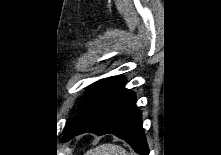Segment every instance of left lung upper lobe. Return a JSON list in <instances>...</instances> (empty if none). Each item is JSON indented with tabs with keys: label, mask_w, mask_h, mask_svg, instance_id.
<instances>
[{
	"label": "left lung upper lobe",
	"mask_w": 221,
	"mask_h": 155,
	"mask_svg": "<svg viewBox=\"0 0 221 155\" xmlns=\"http://www.w3.org/2000/svg\"><path fill=\"white\" fill-rule=\"evenodd\" d=\"M102 81H103V80H100V81H98V82H96V83H94V84H92L91 86L88 87V89H87L86 92H85L86 94H85L84 103L82 104V106H81V108H80V110H79V113H80V111L82 110L84 104L86 103L88 97L91 95V93L94 91V89H95ZM79 113H78V115H79ZM78 115H77V116H78Z\"/></svg>",
	"instance_id": "1"
}]
</instances>
